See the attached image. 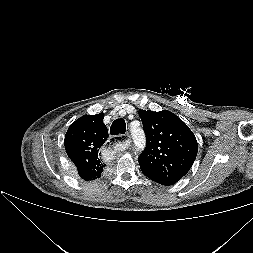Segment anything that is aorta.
Returning <instances> with one entry per match:
<instances>
[{
  "instance_id": "1",
  "label": "aorta",
  "mask_w": 253,
  "mask_h": 253,
  "mask_svg": "<svg viewBox=\"0 0 253 253\" xmlns=\"http://www.w3.org/2000/svg\"><path fill=\"white\" fill-rule=\"evenodd\" d=\"M134 144L137 148H143L145 145V135L140 129H132L131 131Z\"/></svg>"
}]
</instances>
